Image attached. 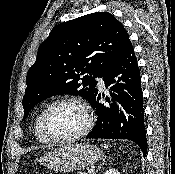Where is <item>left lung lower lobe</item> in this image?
I'll return each mask as SVG.
<instances>
[{"label": "left lung lower lobe", "mask_w": 175, "mask_h": 174, "mask_svg": "<svg viewBox=\"0 0 175 174\" xmlns=\"http://www.w3.org/2000/svg\"><path fill=\"white\" fill-rule=\"evenodd\" d=\"M111 98L100 104L96 94L90 104L96 110L97 124L86 138L128 139L147 153L140 70L130 43L118 61L104 74Z\"/></svg>", "instance_id": "obj_1"}]
</instances>
